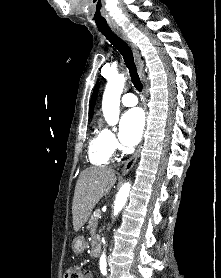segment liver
<instances>
[{
  "label": "liver",
  "mask_w": 221,
  "mask_h": 278,
  "mask_svg": "<svg viewBox=\"0 0 221 278\" xmlns=\"http://www.w3.org/2000/svg\"><path fill=\"white\" fill-rule=\"evenodd\" d=\"M115 171L108 167H90L77 180L72 203L73 228L78 232L99 200L116 183Z\"/></svg>",
  "instance_id": "obj_1"
}]
</instances>
